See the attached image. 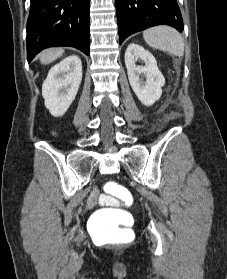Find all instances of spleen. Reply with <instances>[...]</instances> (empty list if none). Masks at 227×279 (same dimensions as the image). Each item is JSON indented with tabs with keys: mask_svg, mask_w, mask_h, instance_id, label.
I'll return each mask as SVG.
<instances>
[{
	"mask_svg": "<svg viewBox=\"0 0 227 279\" xmlns=\"http://www.w3.org/2000/svg\"><path fill=\"white\" fill-rule=\"evenodd\" d=\"M145 42L155 49L167 51L175 56H183L184 42L181 35L172 27L157 26L143 32Z\"/></svg>",
	"mask_w": 227,
	"mask_h": 279,
	"instance_id": "1",
	"label": "spleen"
}]
</instances>
